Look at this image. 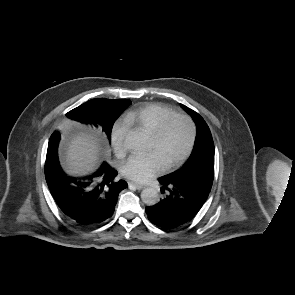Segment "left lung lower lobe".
I'll return each mask as SVG.
<instances>
[{"label":"left lung lower lobe","mask_w":295,"mask_h":295,"mask_svg":"<svg viewBox=\"0 0 295 295\" xmlns=\"http://www.w3.org/2000/svg\"><path fill=\"white\" fill-rule=\"evenodd\" d=\"M165 197L156 205L146 207L148 219L160 228L173 229L190 221L205 203L212 187V178L181 180L158 179Z\"/></svg>","instance_id":"left-lung-lower-lobe-1"}]
</instances>
